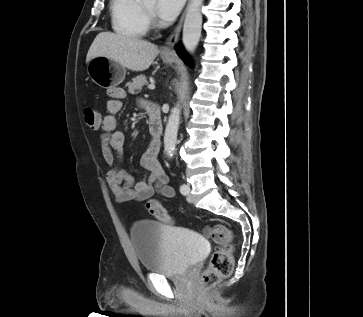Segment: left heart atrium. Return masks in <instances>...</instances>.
I'll return each instance as SVG.
<instances>
[{
  "instance_id": "1",
  "label": "left heart atrium",
  "mask_w": 363,
  "mask_h": 317,
  "mask_svg": "<svg viewBox=\"0 0 363 317\" xmlns=\"http://www.w3.org/2000/svg\"><path fill=\"white\" fill-rule=\"evenodd\" d=\"M184 0H157L156 13L160 19L170 22L179 14Z\"/></svg>"
}]
</instances>
